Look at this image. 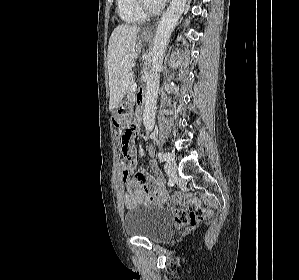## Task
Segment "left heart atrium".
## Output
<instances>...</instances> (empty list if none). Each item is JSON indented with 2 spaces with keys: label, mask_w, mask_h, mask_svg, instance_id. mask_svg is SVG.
<instances>
[{
  "label": "left heart atrium",
  "mask_w": 299,
  "mask_h": 280,
  "mask_svg": "<svg viewBox=\"0 0 299 280\" xmlns=\"http://www.w3.org/2000/svg\"><path fill=\"white\" fill-rule=\"evenodd\" d=\"M157 4H162L164 3L166 0H154Z\"/></svg>",
  "instance_id": "obj_1"
}]
</instances>
